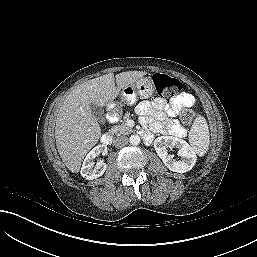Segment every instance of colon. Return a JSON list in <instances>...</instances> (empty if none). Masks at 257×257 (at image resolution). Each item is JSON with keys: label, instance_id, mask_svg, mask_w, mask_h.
<instances>
[{"label": "colon", "instance_id": "colon-1", "mask_svg": "<svg viewBox=\"0 0 257 257\" xmlns=\"http://www.w3.org/2000/svg\"><path fill=\"white\" fill-rule=\"evenodd\" d=\"M153 83L157 94L164 99L173 97L182 90V83L178 79L162 73H156L153 76ZM194 116L195 112L190 108H185L180 113L181 120L187 124L193 120Z\"/></svg>", "mask_w": 257, "mask_h": 257}]
</instances>
